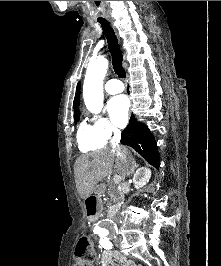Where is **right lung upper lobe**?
<instances>
[{
  "label": "right lung upper lobe",
  "instance_id": "1",
  "mask_svg": "<svg viewBox=\"0 0 221 266\" xmlns=\"http://www.w3.org/2000/svg\"><path fill=\"white\" fill-rule=\"evenodd\" d=\"M79 97H80V82L77 84V88H76V94H75V98H74V110H76L79 107ZM80 114L79 110H76L74 115H78Z\"/></svg>",
  "mask_w": 221,
  "mask_h": 266
}]
</instances>
